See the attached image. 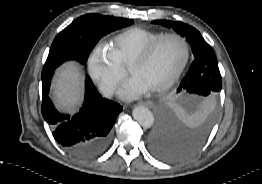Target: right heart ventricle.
<instances>
[{
    "label": "right heart ventricle",
    "mask_w": 262,
    "mask_h": 184,
    "mask_svg": "<svg viewBox=\"0 0 262 184\" xmlns=\"http://www.w3.org/2000/svg\"><path fill=\"white\" fill-rule=\"evenodd\" d=\"M162 33L140 27L128 28L112 39L110 53L122 68H128L138 54Z\"/></svg>",
    "instance_id": "right-heart-ventricle-1"
}]
</instances>
